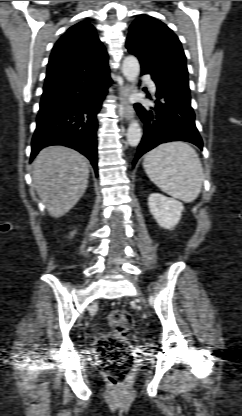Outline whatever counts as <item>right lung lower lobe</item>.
Returning <instances> with one entry per match:
<instances>
[{"instance_id":"right-lung-lower-lobe-1","label":"right lung lower lobe","mask_w":242,"mask_h":416,"mask_svg":"<svg viewBox=\"0 0 242 416\" xmlns=\"http://www.w3.org/2000/svg\"><path fill=\"white\" fill-rule=\"evenodd\" d=\"M111 82L107 70L82 81L44 89L31 160L46 146L64 145L85 155L97 175V114Z\"/></svg>"}]
</instances>
